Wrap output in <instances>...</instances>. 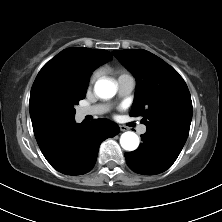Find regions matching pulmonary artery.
I'll return each instance as SVG.
<instances>
[{
	"instance_id": "1",
	"label": "pulmonary artery",
	"mask_w": 222,
	"mask_h": 222,
	"mask_svg": "<svg viewBox=\"0 0 222 222\" xmlns=\"http://www.w3.org/2000/svg\"><path fill=\"white\" fill-rule=\"evenodd\" d=\"M118 84V95L120 97H125L129 95L134 87H135V80L132 76H121L117 80ZM108 110L107 105H95L90 107H83L80 108L78 114L80 117H85L87 115H98L105 113ZM147 131V127L145 125H140L138 127V132L140 134H144Z\"/></svg>"
}]
</instances>
